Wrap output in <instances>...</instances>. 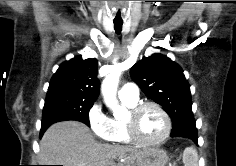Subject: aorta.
Segmentation results:
<instances>
[{"instance_id": "aorta-1", "label": "aorta", "mask_w": 236, "mask_h": 166, "mask_svg": "<svg viewBox=\"0 0 236 166\" xmlns=\"http://www.w3.org/2000/svg\"><path fill=\"white\" fill-rule=\"evenodd\" d=\"M119 77V72H113L104 79L101 86L104 102L107 107H109L113 111L115 117L126 113V109L123 106H120L116 99Z\"/></svg>"}]
</instances>
